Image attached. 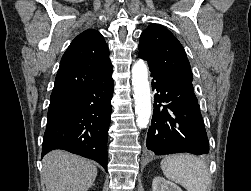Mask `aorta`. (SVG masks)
Listing matches in <instances>:
<instances>
[{"mask_svg":"<svg viewBox=\"0 0 251 191\" xmlns=\"http://www.w3.org/2000/svg\"><path fill=\"white\" fill-rule=\"evenodd\" d=\"M133 97L138 127H147L151 115V94L148 70L143 60L135 62L132 68Z\"/></svg>","mask_w":251,"mask_h":191,"instance_id":"obj_1","label":"aorta"}]
</instances>
